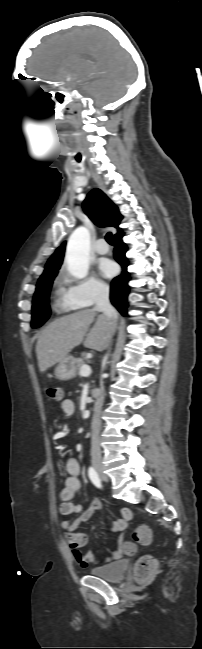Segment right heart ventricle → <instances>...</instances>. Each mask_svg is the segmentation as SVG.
Returning <instances> with one entry per match:
<instances>
[{
  "label": "right heart ventricle",
  "instance_id": "obj_1",
  "mask_svg": "<svg viewBox=\"0 0 202 649\" xmlns=\"http://www.w3.org/2000/svg\"><path fill=\"white\" fill-rule=\"evenodd\" d=\"M62 292H63V288H62V279H61V278H58V279H57V282H56V298H57V302H58V307H59V309H64V308L61 306V304H60V297H61V295H62Z\"/></svg>",
  "mask_w": 202,
  "mask_h": 649
}]
</instances>
